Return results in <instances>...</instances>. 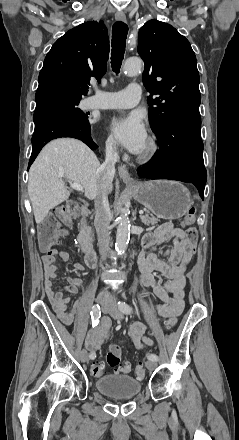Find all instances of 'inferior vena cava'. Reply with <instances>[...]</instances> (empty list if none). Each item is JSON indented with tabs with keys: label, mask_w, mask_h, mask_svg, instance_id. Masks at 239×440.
<instances>
[{
	"label": "inferior vena cava",
	"mask_w": 239,
	"mask_h": 440,
	"mask_svg": "<svg viewBox=\"0 0 239 440\" xmlns=\"http://www.w3.org/2000/svg\"><path fill=\"white\" fill-rule=\"evenodd\" d=\"M119 156L117 154L116 142L113 138H108L106 142V156L105 162L100 166L98 172L100 174V184L98 188L99 194L95 198V228L98 236L99 252L105 260L109 250L110 232L109 224L111 212L108 202V190L112 180L115 176V164L118 162ZM105 297L101 300L102 307H115L116 305L111 300L114 298L109 293L103 294Z\"/></svg>",
	"instance_id": "obj_1"
}]
</instances>
